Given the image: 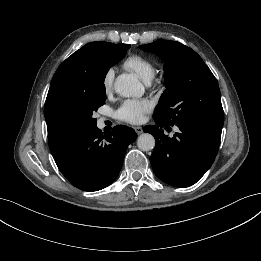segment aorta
I'll return each instance as SVG.
<instances>
[{
    "label": "aorta",
    "mask_w": 261,
    "mask_h": 261,
    "mask_svg": "<svg viewBox=\"0 0 261 261\" xmlns=\"http://www.w3.org/2000/svg\"><path fill=\"white\" fill-rule=\"evenodd\" d=\"M115 91L123 97H140L144 93L142 83L134 74L119 75L114 83ZM137 146L142 151H150L155 147V139L150 133H143L137 139Z\"/></svg>",
    "instance_id": "aorta-1"
}]
</instances>
